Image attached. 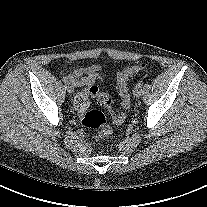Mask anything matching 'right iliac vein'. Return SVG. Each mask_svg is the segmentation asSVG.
<instances>
[{"label": "right iliac vein", "instance_id": "63e3f726", "mask_svg": "<svg viewBox=\"0 0 207 207\" xmlns=\"http://www.w3.org/2000/svg\"><path fill=\"white\" fill-rule=\"evenodd\" d=\"M66 89L69 93H72L74 91V86L71 83H66Z\"/></svg>", "mask_w": 207, "mask_h": 207}]
</instances>
